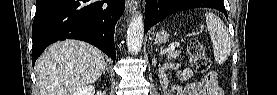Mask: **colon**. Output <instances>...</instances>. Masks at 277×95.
<instances>
[{
  "label": "colon",
  "instance_id": "1",
  "mask_svg": "<svg viewBox=\"0 0 277 95\" xmlns=\"http://www.w3.org/2000/svg\"><path fill=\"white\" fill-rule=\"evenodd\" d=\"M188 52L191 58L192 68L197 73L205 74L208 82L214 81V74L209 71L210 60L206 54V48L197 40L192 39L189 42Z\"/></svg>",
  "mask_w": 277,
  "mask_h": 95
}]
</instances>
